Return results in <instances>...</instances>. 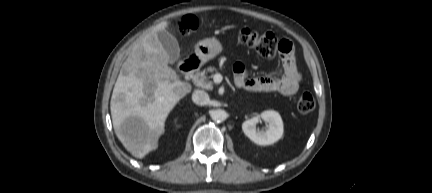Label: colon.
<instances>
[{"instance_id":"obj_1","label":"colon","mask_w":432,"mask_h":193,"mask_svg":"<svg viewBox=\"0 0 432 193\" xmlns=\"http://www.w3.org/2000/svg\"><path fill=\"white\" fill-rule=\"evenodd\" d=\"M197 28V20L193 16H185L178 23V29L183 33H190ZM239 42L253 50L258 55L270 58L276 54L288 55L292 45L287 40H278L271 32L260 33L249 28H243L238 35ZM316 102L310 92L303 93L298 100V110L302 113L311 112Z\"/></svg>"}]
</instances>
